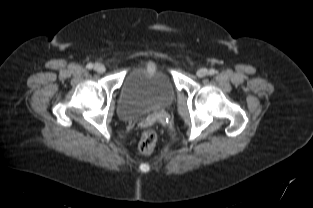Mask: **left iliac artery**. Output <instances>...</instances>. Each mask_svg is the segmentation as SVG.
I'll list each match as a JSON object with an SVG mask.
<instances>
[{
    "label": "left iliac artery",
    "mask_w": 313,
    "mask_h": 208,
    "mask_svg": "<svg viewBox=\"0 0 313 208\" xmlns=\"http://www.w3.org/2000/svg\"><path fill=\"white\" fill-rule=\"evenodd\" d=\"M215 73H216L215 69H210V70H209V74H210V75H214Z\"/></svg>",
    "instance_id": "44dca946"
}]
</instances>
